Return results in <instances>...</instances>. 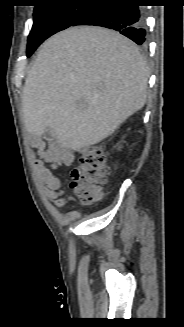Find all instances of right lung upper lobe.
I'll return each instance as SVG.
<instances>
[{"instance_id": "1", "label": "right lung upper lobe", "mask_w": 184, "mask_h": 327, "mask_svg": "<svg viewBox=\"0 0 184 327\" xmlns=\"http://www.w3.org/2000/svg\"><path fill=\"white\" fill-rule=\"evenodd\" d=\"M37 1H39L40 3H44V2L54 1V0H37Z\"/></svg>"}]
</instances>
